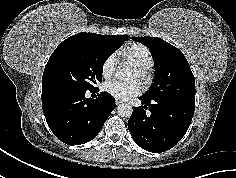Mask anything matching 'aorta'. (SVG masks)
I'll use <instances>...</instances> for the list:
<instances>
[{
    "label": "aorta",
    "mask_w": 236,
    "mask_h": 178,
    "mask_svg": "<svg viewBox=\"0 0 236 178\" xmlns=\"http://www.w3.org/2000/svg\"><path fill=\"white\" fill-rule=\"evenodd\" d=\"M127 74V70L125 68H120L117 73H116V77L119 79H122L123 77H125ZM133 109L132 106L129 104H120L117 108V114L120 117H124V118H129L132 115Z\"/></svg>",
    "instance_id": "obj_1"
}]
</instances>
